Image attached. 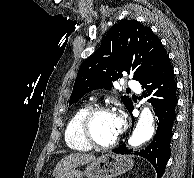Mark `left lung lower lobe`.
<instances>
[{"instance_id": "1", "label": "left lung lower lobe", "mask_w": 194, "mask_h": 178, "mask_svg": "<svg viewBox=\"0 0 194 178\" xmlns=\"http://www.w3.org/2000/svg\"><path fill=\"white\" fill-rule=\"evenodd\" d=\"M140 84L144 88L145 97H149V102L154 107L157 116L156 135L149 146L135 155L146 158L154 166L158 178L164 173L166 164L170 157V141L173 135L172 125L176 119L175 107L178 102L176 96V82L174 80V70L169 60L165 58L163 63L148 77L143 79ZM133 104L128 109L132 115ZM134 122V120L132 119ZM113 152L117 154H130L133 150H128L123 143Z\"/></svg>"}]
</instances>
